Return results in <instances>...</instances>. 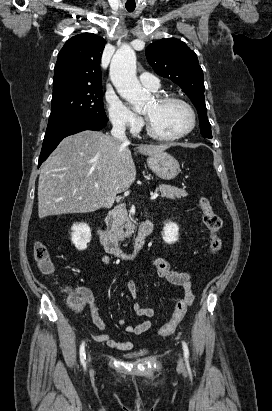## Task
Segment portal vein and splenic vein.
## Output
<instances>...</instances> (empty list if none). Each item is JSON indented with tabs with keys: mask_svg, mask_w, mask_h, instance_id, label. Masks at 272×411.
I'll return each instance as SVG.
<instances>
[{
	"mask_svg": "<svg viewBox=\"0 0 272 411\" xmlns=\"http://www.w3.org/2000/svg\"><path fill=\"white\" fill-rule=\"evenodd\" d=\"M95 187H98V185H95ZM158 195H159L158 193H154L151 195L150 199L155 200L158 197Z\"/></svg>",
	"mask_w": 272,
	"mask_h": 411,
	"instance_id": "portal-vein-and-splenic-vein-1",
	"label": "portal vein and splenic vein"
}]
</instances>
